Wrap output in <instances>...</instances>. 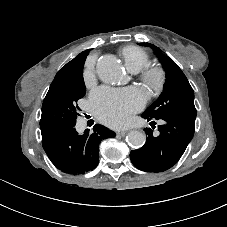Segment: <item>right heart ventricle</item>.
<instances>
[{
    "label": "right heart ventricle",
    "mask_w": 227,
    "mask_h": 227,
    "mask_svg": "<svg viewBox=\"0 0 227 227\" xmlns=\"http://www.w3.org/2000/svg\"><path fill=\"white\" fill-rule=\"evenodd\" d=\"M120 55L127 69L133 73L138 72L150 63L149 54L135 45H127L120 49Z\"/></svg>",
    "instance_id": "e07e8e85"
}]
</instances>
